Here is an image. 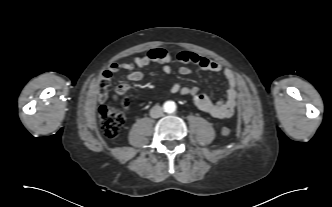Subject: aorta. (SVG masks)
Returning <instances> with one entry per match:
<instances>
[{
    "label": "aorta",
    "mask_w": 332,
    "mask_h": 207,
    "mask_svg": "<svg viewBox=\"0 0 332 207\" xmlns=\"http://www.w3.org/2000/svg\"><path fill=\"white\" fill-rule=\"evenodd\" d=\"M164 110L167 113H173L176 110V104L173 101H167L164 103Z\"/></svg>",
    "instance_id": "aorta-1"
}]
</instances>
